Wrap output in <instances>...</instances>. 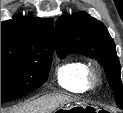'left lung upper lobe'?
<instances>
[{"label": "left lung upper lobe", "mask_w": 123, "mask_h": 113, "mask_svg": "<svg viewBox=\"0 0 123 113\" xmlns=\"http://www.w3.org/2000/svg\"><path fill=\"white\" fill-rule=\"evenodd\" d=\"M56 51L61 59L77 52L101 63L114 91L116 104L123 109L119 59L113 39L102 22L84 12L60 17L56 22Z\"/></svg>", "instance_id": "obj_1"}]
</instances>
